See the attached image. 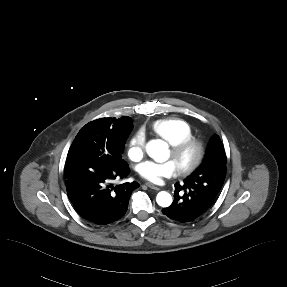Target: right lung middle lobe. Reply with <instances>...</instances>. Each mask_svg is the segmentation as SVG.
<instances>
[{
  "label": "right lung middle lobe",
  "instance_id": "dd1d6c3e",
  "mask_svg": "<svg viewBox=\"0 0 287 287\" xmlns=\"http://www.w3.org/2000/svg\"><path fill=\"white\" fill-rule=\"evenodd\" d=\"M133 127V126H132ZM132 127L113 141H106L99 137L96 129L90 123L86 124L75 137L67 158L77 155H93L112 164H126L121 158L125 140Z\"/></svg>",
  "mask_w": 287,
  "mask_h": 287
}]
</instances>
